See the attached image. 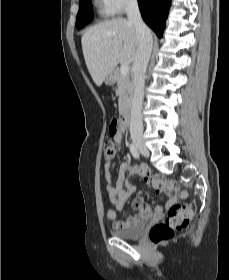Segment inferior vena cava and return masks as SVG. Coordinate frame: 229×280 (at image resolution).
<instances>
[{"instance_id":"1","label":"inferior vena cava","mask_w":229,"mask_h":280,"mask_svg":"<svg viewBox=\"0 0 229 280\" xmlns=\"http://www.w3.org/2000/svg\"><path fill=\"white\" fill-rule=\"evenodd\" d=\"M128 21L134 24L138 35V48L133 62L134 95L131 108V136L143 134L142 104L144 98L145 73L151 56L153 39L150 29L142 20L137 0H128Z\"/></svg>"}]
</instances>
